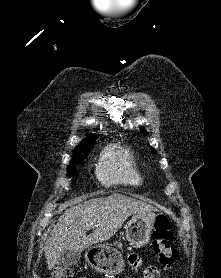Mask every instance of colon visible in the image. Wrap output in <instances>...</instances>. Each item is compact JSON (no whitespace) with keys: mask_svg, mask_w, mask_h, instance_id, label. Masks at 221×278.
<instances>
[{"mask_svg":"<svg viewBox=\"0 0 221 278\" xmlns=\"http://www.w3.org/2000/svg\"><path fill=\"white\" fill-rule=\"evenodd\" d=\"M172 239L173 229L168 218L158 215L152 233V246L159 264L164 268L173 266L178 258ZM146 273L150 278H158V270L154 267L148 268ZM50 278H73V270L70 267H57L51 272Z\"/></svg>","mask_w":221,"mask_h":278,"instance_id":"5ec220e1","label":"colon"}]
</instances>
